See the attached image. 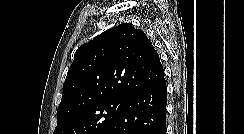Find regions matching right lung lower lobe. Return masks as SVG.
I'll return each mask as SVG.
<instances>
[{
    "mask_svg": "<svg viewBox=\"0 0 244 134\" xmlns=\"http://www.w3.org/2000/svg\"><path fill=\"white\" fill-rule=\"evenodd\" d=\"M166 80L131 95L103 134H166Z\"/></svg>",
    "mask_w": 244,
    "mask_h": 134,
    "instance_id": "right-lung-lower-lobe-1",
    "label": "right lung lower lobe"
}]
</instances>
